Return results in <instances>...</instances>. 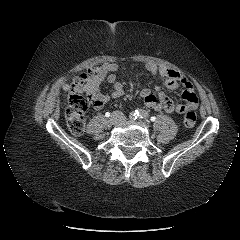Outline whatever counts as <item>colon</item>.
<instances>
[{
	"instance_id": "5ec220e1",
	"label": "colon",
	"mask_w": 240,
	"mask_h": 240,
	"mask_svg": "<svg viewBox=\"0 0 240 240\" xmlns=\"http://www.w3.org/2000/svg\"><path fill=\"white\" fill-rule=\"evenodd\" d=\"M98 71L79 73L76 75L70 86L67 96L66 123L71 133L81 135L85 129V116L89 109V102L84 92L90 81L97 76ZM196 123V112L193 106H188L184 114L186 127H193Z\"/></svg>"
}]
</instances>
